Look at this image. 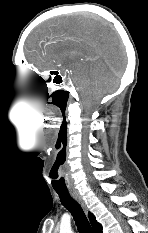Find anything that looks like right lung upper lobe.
I'll return each mask as SVG.
<instances>
[{
	"label": "right lung upper lobe",
	"instance_id": "1",
	"mask_svg": "<svg viewBox=\"0 0 148 233\" xmlns=\"http://www.w3.org/2000/svg\"><path fill=\"white\" fill-rule=\"evenodd\" d=\"M89 219L95 233H102V225L96 221L95 216L89 212Z\"/></svg>",
	"mask_w": 148,
	"mask_h": 233
}]
</instances>
